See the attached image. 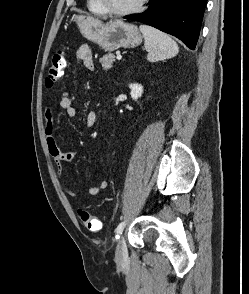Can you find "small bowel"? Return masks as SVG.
I'll list each match as a JSON object with an SVG mask.
<instances>
[{"mask_svg":"<svg viewBox=\"0 0 249 294\" xmlns=\"http://www.w3.org/2000/svg\"><path fill=\"white\" fill-rule=\"evenodd\" d=\"M77 58L80 59L86 68L92 70L94 68L93 64V49L88 44H82L77 50ZM60 107L64 109L69 117H77L78 110L74 106L70 95L64 92L61 95ZM96 113L94 111H89L84 119V124L86 128H91L95 125ZM55 125L53 112L50 108L47 109L45 114V137L46 144L49 155L53 159L56 168L57 176L61 190L69 197L76 198L79 196L80 191L72 186H70L63 176V164L73 160L77 151L75 149L63 151L55 137ZM109 183L107 180H102L99 183L92 185L88 188L87 193L91 196L98 195L108 187Z\"/></svg>","mask_w":249,"mask_h":294,"instance_id":"c3829d8e","label":"small bowel"}]
</instances>
